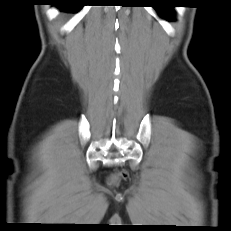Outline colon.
<instances>
[{"mask_svg": "<svg viewBox=\"0 0 231 231\" xmlns=\"http://www.w3.org/2000/svg\"><path fill=\"white\" fill-rule=\"evenodd\" d=\"M118 179H119V176L114 175V176L111 177L110 182L114 184V183H116L118 181Z\"/></svg>", "mask_w": 231, "mask_h": 231, "instance_id": "5ec220e1", "label": "colon"}]
</instances>
